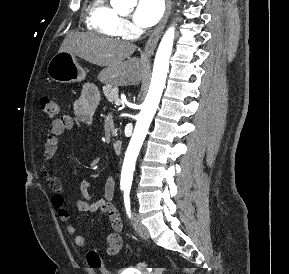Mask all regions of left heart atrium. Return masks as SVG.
<instances>
[{
  "label": "left heart atrium",
  "instance_id": "1",
  "mask_svg": "<svg viewBox=\"0 0 289 274\" xmlns=\"http://www.w3.org/2000/svg\"><path fill=\"white\" fill-rule=\"evenodd\" d=\"M163 11L164 0H138L133 20L141 27H150L160 20Z\"/></svg>",
  "mask_w": 289,
  "mask_h": 274
}]
</instances>
